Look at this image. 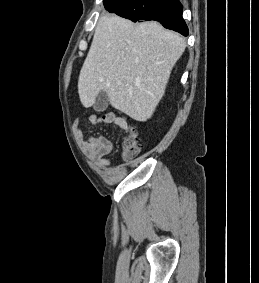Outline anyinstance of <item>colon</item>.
Segmentation results:
<instances>
[{
	"instance_id": "obj_1",
	"label": "colon",
	"mask_w": 259,
	"mask_h": 283,
	"mask_svg": "<svg viewBox=\"0 0 259 283\" xmlns=\"http://www.w3.org/2000/svg\"><path fill=\"white\" fill-rule=\"evenodd\" d=\"M129 126V132L123 138L122 143V159L124 161H130L134 159L139 152V138L135 127Z\"/></svg>"
}]
</instances>
